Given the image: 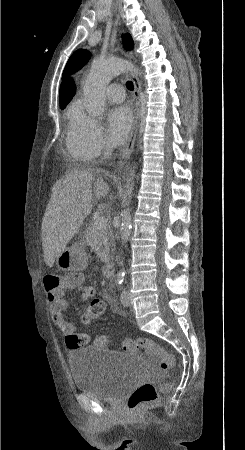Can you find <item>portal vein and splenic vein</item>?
I'll return each mask as SVG.
<instances>
[{"label":"portal vein and splenic vein","instance_id":"1","mask_svg":"<svg viewBox=\"0 0 245 450\" xmlns=\"http://www.w3.org/2000/svg\"><path fill=\"white\" fill-rule=\"evenodd\" d=\"M94 226L99 230L106 229L108 226V221L104 217H99L95 220Z\"/></svg>","mask_w":245,"mask_h":450}]
</instances>
